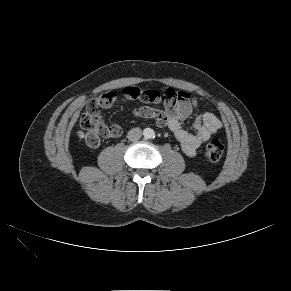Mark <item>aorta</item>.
<instances>
[{"label": "aorta", "instance_id": "aorta-1", "mask_svg": "<svg viewBox=\"0 0 291 291\" xmlns=\"http://www.w3.org/2000/svg\"><path fill=\"white\" fill-rule=\"evenodd\" d=\"M144 136L146 138H152V137H154V131L152 129H150V128H146L144 130Z\"/></svg>", "mask_w": 291, "mask_h": 291}]
</instances>
